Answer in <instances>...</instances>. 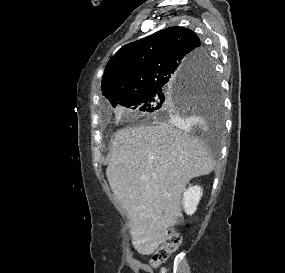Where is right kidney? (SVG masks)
Listing matches in <instances>:
<instances>
[{
  "instance_id": "right-kidney-1",
  "label": "right kidney",
  "mask_w": 285,
  "mask_h": 273,
  "mask_svg": "<svg viewBox=\"0 0 285 273\" xmlns=\"http://www.w3.org/2000/svg\"><path fill=\"white\" fill-rule=\"evenodd\" d=\"M202 197V188L200 186H190L183 194V207L188 215H192Z\"/></svg>"
}]
</instances>
